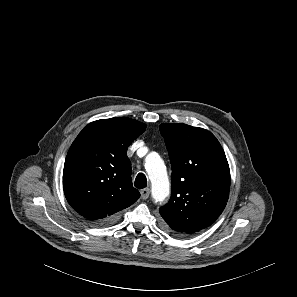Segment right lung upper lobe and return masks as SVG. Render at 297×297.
Returning <instances> with one entry per match:
<instances>
[{"label":"right lung upper lobe","instance_id":"obj_1","mask_svg":"<svg viewBox=\"0 0 297 297\" xmlns=\"http://www.w3.org/2000/svg\"><path fill=\"white\" fill-rule=\"evenodd\" d=\"M145 129L144 123L116 117L94 121L79 133L63 170L64 193L76 212L102 222L137 201L127 148Z\"/></svg>","mask_w":297,"mask_h":297}]
</instances>
